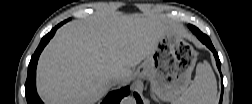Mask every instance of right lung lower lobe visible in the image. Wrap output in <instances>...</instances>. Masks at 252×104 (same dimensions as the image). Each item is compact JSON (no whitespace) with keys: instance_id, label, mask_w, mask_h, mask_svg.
Listing matches in <instances>:
<instances>
[{"instance_id":"right-lung-lower-lobe-1","label":"right lung lower lobe","mask_w":252,"mask_h":104,"mask_svg":"<svg viewBox=\"0 0 252 104\" xmlns=\"http://www.w3.org/2000/svg\"><path fill=\"white\" fill-rule=\"evenodd\" d=\"M64 23L65 21L58 24L55 28H53L48 34H46L42 38L38 48L36 49L35 53L31 57V61L28 66L27 80L25 83V93H26V99H27L28 104H43V102L39 98L36 91V66H37L38 58L43 48L46 46L49 40L54 36L57 28H59ZM129 92H130L129 87H125L120 90L113 91L107 95V97L104 99L102 104H108V103L118 104L124 96H127L129 94Z\"/></svg>"}]
</instances>
